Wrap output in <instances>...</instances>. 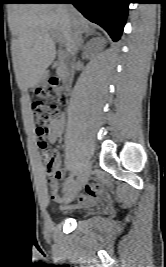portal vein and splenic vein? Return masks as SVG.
Returning a JSON list of instances; mask_svg holds the SVG:
<instances>
[{
  "label": "portal vein and splenic vein",
  "instance_id": "18ae733b",
  "mask_svg": "<svg viewBox=\"0 0 166 267\" xmlns=\"http://www.w3.org/2000/svg\"><path fill=\"white\" fill-rule=\"evenodd\" d=\"M52 37L57 39V41L62 44L63 43V40H62V37L59 35V33H57L56 31H53L52 32Z\"/></svg>",
  "mask_w": 166,
  "mask_h": 267
}]
</instances>
